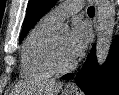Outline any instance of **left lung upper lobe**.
Instances as JSON below:
<instances>
[{
	"label": "left lung upper lobe",
	"mask_w": 119,
	"mask_h": 95,
	"mask_svg": "<svg viewBox=\"0 0 119 95\" xmlns=\"http://www.w3.org/2000/svg\"><path fill=\"white\" fill-rule=\"evenodd\" d=\"M56 2L57 0H29L23 30L19 39L20 42L39 19L56 4Z\"/></svg>",
	"instance_id": "left-lung-upper-lobe-1"
}]
</instances>
